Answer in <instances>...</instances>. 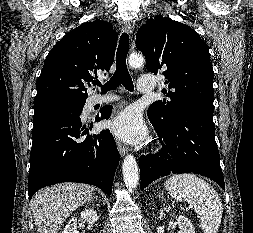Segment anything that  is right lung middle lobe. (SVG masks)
Instances as JSON below:
<instances>
[{
    "label": "right lung middle lobe",
    "mask_w": 253,
    "mask_h": 233,
    "mask_svg": "<svg viewBox=\"0 0 253 233\" xmlns=\"http://www.w3.org/2000/svg\"><path fill=\"white\" fill-rule=\"evenodd\" d=\"M85 104V100H70V99H62V98H56V99H50L46 100L37 104H34V111L39 112L41 110L51 108V107H65V108H71L77 111H82L83 106Z\"/></svg>",
    "instance_id": "1"
}]
</instances>
